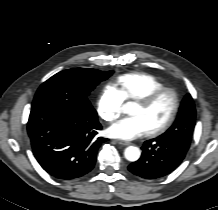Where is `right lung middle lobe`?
<instances>
[{
    "label": "right lung middle lobe",
    "mask_w": 218,
    "mask_h": 210,
    "mask_svg": "<svg viewBox=\"0 0 218 210\" xmlns=\"http://www.w3.org/2000/svg\"><path fill=\"white\" fill-rule=\"evenodd\" d=\"M112 73L113 71L102 72L85 68L61 71L38 88L32 105L41 102H57L96 113L87 96L96 85L106 80Z\"/></svg>",
    "instance_id": "right-lung-middle-lobe-1"
}]
</instances>
